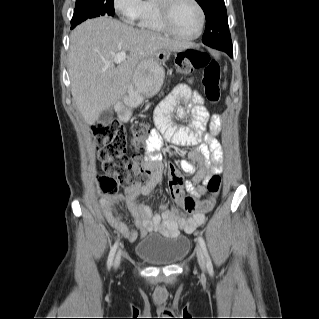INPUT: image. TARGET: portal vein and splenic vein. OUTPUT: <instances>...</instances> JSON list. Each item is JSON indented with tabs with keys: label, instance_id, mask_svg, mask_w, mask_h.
Masks as SVG:
<instances>
[{
	"label": "portal vein and splenic vein",
	"instance_id": "portal-vein-and-splenic-vein-1",
	"mask_svg": "<svg viewBox=\"0 0 319 319\" xmlns=\"http://www.w3.org/2000/svg\"><path fill=\"white\" fill-rule=\"evenodd\" d=\"M127 56H126V53L124 51H121V52H118L114 59L112 60V62L114 63H121L123 62L124 60H126Z\"/></svg>",
	"mask_w": 319,
	"mask_h": 319
}]
</instances>
